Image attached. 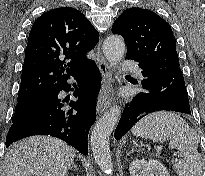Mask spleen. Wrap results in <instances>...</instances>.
<instances>
[{"instance_id":"1","label":"spleen","mask_w":205,"mask_h":176,"mask_svg":"<svg viewBox=\"0 0 205 176\" xmlns=\"http://www.w3.org/2000/svg\"><path fill=\"white\" fill-rule=\"evenodd\" d=\"M132 134L155 142L170 140L169 146L183 155V159H172L178 176H202L199 136L179 115L166 111L147 115L132 128Z\"/></svg>"}]
</instances>
